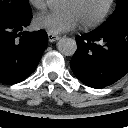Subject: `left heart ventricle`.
Masks as SVG:
<instances>
[{"instance_id":"obj_1","label":"left heart ventricle","mask_w":128,"mask_h":128,"mask_svg":"<svg viewBox=\"0 0 128 128\" xmlns=\"http://www.w3.org/2000/svg\"><path fill=\"white\" fill-rule=\"evenodd\" d=\"M108 0H66L63 10L72 11L79 23L94 20L105 8Z\"/></svg>"}]
</instances>
